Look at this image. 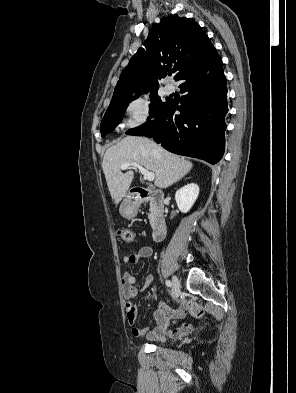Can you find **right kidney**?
I'll use <instances>...</instances> for the list:
<instances>
[{"mask_svg":"<svg viewBox=\"0 0 296 393\" xmlns=\"http://www.w3.org/2000/svg\"><path fill=\"white\" fill-rule=\"evenodd\" d=\"M199 195V186L195 183H190L180 188L175 194V200L179 210L182 213H187L195 203Z\"/></svg>","mask_w":296,"mask_h":393,"instance_id":"ca27d5eb","label":"right kidney"}]
</instances>
